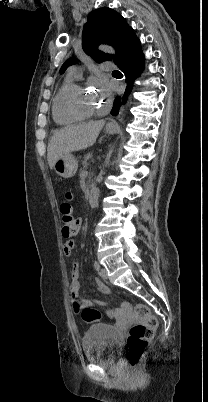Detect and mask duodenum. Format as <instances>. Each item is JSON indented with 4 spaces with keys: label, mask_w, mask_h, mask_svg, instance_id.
<instances>
[{
    "label": "duodenum",
    "mask_w": 208,
    "mask_h": 402,
    "mask_svg": "<svg viewBox=\"0 0 208 402\" xmlns=\"http://www.w3.org/2000/svg\"><path fill=\"white\" fill-rule=\"evenodd\" d=\"M99 192L97 188H92L88 195V202L91 207H95L98 202Z\"/></svg>",
    "instance_id": "obj_1"
}]
</instances>
